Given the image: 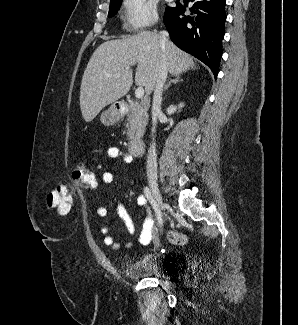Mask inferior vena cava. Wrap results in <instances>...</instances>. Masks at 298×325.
<instances>
[{
  "mask_svg": "<svg viewBox=\"0 0 298 325\" xmlns=\"http://www.w3.org/2000/svg\"><path fill=\"white\" fill-rule=\"evenodd\" d=\"M167 36H169V32H167V30H160L161 44H165ZM162 56L163 58L160 60L158 78L156 80L152 102V130H154V132L157 124V118L161 112L163 86L166 82L168 72L165 54H162ZM146 171L149 181H154V179H157V152L155 142H152V144L149 146Z\"/></svg>",
  "mask_w": 298,
  "mask_h": 325,
  "instance_id": "inferior-vena-cava-1",
  "label": "inferior vena cava"
}]
</instances>
